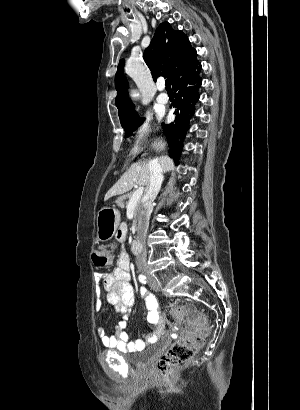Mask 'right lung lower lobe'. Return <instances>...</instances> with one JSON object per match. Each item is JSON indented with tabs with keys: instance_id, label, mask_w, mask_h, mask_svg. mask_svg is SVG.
Listing matches in <instances>:
<instances>
[{
	"instance_id": "98d812e1",
	"label": "right lung lower lobe",
	"mask_w": 300,
	"mask_h": 410,
	"mask_svg": "<svg viewBox=\"0 0 300 410\" xmlns=\"http://www.w3.org/2000/svg\"><path fill=\"white\" fill-rule=\"evenodd\" d=\"M201 64L196 59L184 72L179 74L171 83L175 92V100L171 107L174 109L175 119L168 125H162L169 142V155L176 161L181 155L182 142L189 130V123L195 113V105L199 100Z\"/></svg>"
}]
</instances>
